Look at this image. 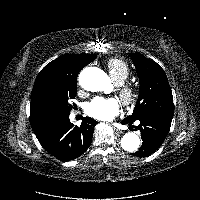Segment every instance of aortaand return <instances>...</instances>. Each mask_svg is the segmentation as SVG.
Instances as JSON below:
<instances>
[{
    "instance_id": "1",
    "label": "aorta",
    "mask_w": 200,
    "mask_h": 200,
    "mask_svg": "<svg viewBox=\"0 0 200 200\" xmlns=\"http://www.w3.org/2000/svg\"><path fill=\"white\" fill-rule=\"evenodd\" d=\"M80 85L88 91L96 92L107 89L108 76L104 71L96 67L84 69L79 75ZM140 138L134 132L126 133L121 139V147L127 152H135L139 148Z\"/></svg>"
}]
</instances>
